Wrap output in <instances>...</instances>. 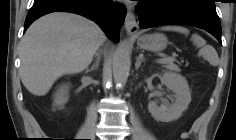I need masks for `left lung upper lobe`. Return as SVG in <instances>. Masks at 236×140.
Returning <instances> with one entry per match:
<instances>
[{
	"label": "left lung upper lobe",
	"instance_id": "left-lung-upper-lobe-1",
	"mask_svg": "<svg viewBox=\"0 0 236 140\" xmlns=\"http://www.w3.org/2000/svg\"><path fill=\"white\" fill-rule=\"evenodd\" d=\"M200 1H205V2L214 3V0H200Z\"/></svg>",
	"mask_w": 236,
	"mask_h": 140
}]
</instances>
